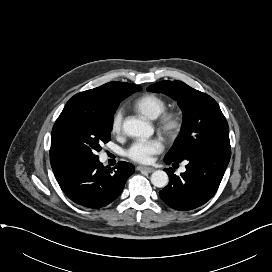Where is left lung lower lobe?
<instances>
[{
  "label": "left lung lower lobe",
  "mask_w": 272,
  "mask_h": 272,
  "mask_svg": "<svg viewBox=\"0 0 272 272\" xmlns=\"http://www.w3.org/2000/svg\"><path fill=\"white\" fill-rule=\"evenodd\" d=\"M231 156V150L202 151L188 159L186 171L180 176L172 168L165 169L169 184L159 194L161 199L176 210H192L205 204L217 191ZM166 164L176 163L165 159Z\"/></svg>",
  "instance_id": "1"
}]
</instances>
